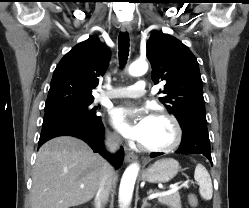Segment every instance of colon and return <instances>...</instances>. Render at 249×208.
Returning a JSON list of instances; mask_svg holds the SVG:
<instances>
[{"label": "colon", "instance_id": "1", "mask_svg": "<svg viewBox=\"0 0 249 208\" xmlns=\"http://www.w3.org/2000/svg\"><path fill=\"white\" fill-rule=\"evenodd\" d=\"M189 204L191 207L196 208L198 205L197 197L194 194L189 195Z\"/></svg>", "mask_w": 249, "mask_h": 208}]
</instances>
